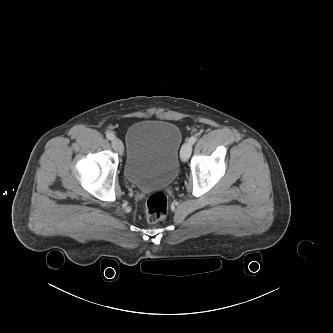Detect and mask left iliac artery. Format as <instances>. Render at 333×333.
Masks as SVG:
<instances>
[{"label":"left iliac artery","mask_w":333,"mask_h":333,"mask_svg":"<svg viewBox=\"0 0 333 333\" xmlns=\"http://www.w3.org/2000/svg\"><path fill=\"white\" fill-rule=\"evenodd\" d=\"M196 140H197L196 137L192 136V137L189 138V143L194 144L196 142Z\"/></svg>","instance_id":"left-iliac-artery-1"}]
</instances>
